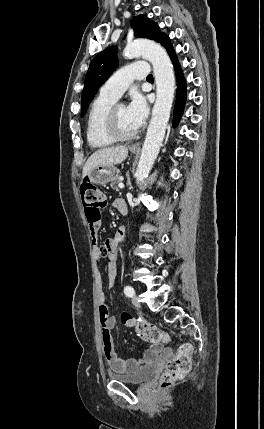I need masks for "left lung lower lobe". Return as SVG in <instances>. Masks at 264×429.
Segmentation results:
<instances>
[{"instance_id":"left-lung-lower-lobe-1","label":"left lung lower lobe","mask_w":264,"mask_h":429,"mask_svg":"<svg viewBox=\"0 0 264 429\" xmlns=\"http://www.w3.org/2000/svg\"><path fill=\"white\" fill-rule=\"evenodd\" d=\"M160 44L166 48L176 70L177 93H176V103L174 108V119H173V125H176L180 120V117L182 116L183 109H184V103L186 100V84H185V80H184L182 71L180 69L178 60L174 53L173 47L170 43L169 37L167 35H164L160 40Z\"/></svg>"}]
</instances>
